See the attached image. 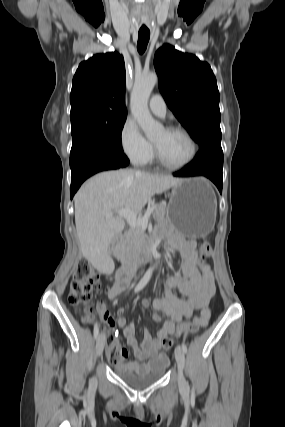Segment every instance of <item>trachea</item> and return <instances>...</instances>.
Here are the masks:
<instances>
[{"label": "trachea", "mask_w": 285, "mask_h": 427, "mask_svg": "<svg viewBox=\"0 0 285 427\" xmlns=\"http://www.w3.org/2000/svg\"><path fill=\"white\" fill-rule=\"evenodd\" d=\"M150 38V31H139L137 50L140 54H143L147 48V44Z\"/></svg>", "instance_id": "obj_1"}]
</instances>
